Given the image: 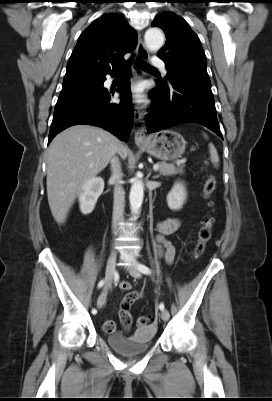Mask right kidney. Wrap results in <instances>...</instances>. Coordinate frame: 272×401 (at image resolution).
Wrapping results in <instances>:
<instances>
[{"label":"right kidney","instance_id":"right-kidney-1","mask_svg":"<svg viewBox=\"0 0 272 401\" xmlns=\"http://www.w3.org/2000/svg\"><path fill=\"white\" fill-rule=\"evenodd\" d=\"M104 190V180L101 177L88 179L81 188L79 195L80 210L83 214L91 213L99 196Z\"/></svg>","mask_w":272,"mask_h":401}]
</instances>
